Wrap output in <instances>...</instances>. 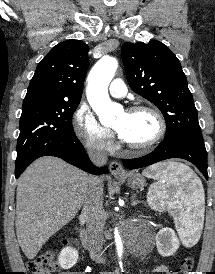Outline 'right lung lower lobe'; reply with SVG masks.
I'll return each instance as SVG.
<instances>
[{
	"label": "right lung lower lobe",
	"instance_id": "obj_1",
	"mask_svg": "<svg viewBox=\"0 0 215 274\" xmlns=\"http://www.w3.org/2000/svg\"><path fill=\"white\" fill-rule=\"evenodd\" d=\"M42 156L59 157L66 162L92 174L108 172L106 168L99 170L95 165L92 164L85 152L84 147L80 141L76 139L74 141L65 142L50 148L43 149L24 164L16 167L15 177L18 178L27 166H29L35 159Z\"/></svg>",
	"mask_w": 215,
	"mask_h": 274
}]
</instances>
